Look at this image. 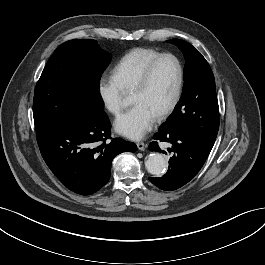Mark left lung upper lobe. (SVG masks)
Here are the masks:
<instances>
[{
  "instance_id": "1",
  "label": "left lung upper lobe",
  "mask_w": 265,
  "mask_h": 265,
  "mask_svg": "<svg viewBox=\"0 0 265 265\" xmlns=\"http://www.w3.org/2000/svg\"><path fill=\"white\" fill-rule=\"evenodd\" d=\"M168 42L177 45L186 60L184 86L180 101L159 132H183L198 138L212 149L219 128V107L212 70L191 44L181 39Z\"/></svg>"
}]
</instances>
